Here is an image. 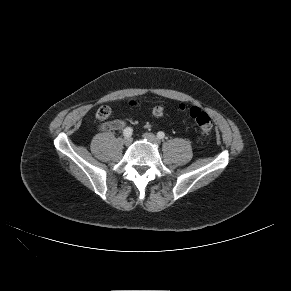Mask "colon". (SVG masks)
<instances>
[{
  "instance_id": "obj_1",
  "label": "colon",
  "mask_w": 291,
  "mask_h": 291,
  "mask_svg": "<svg viewBox=\"0 0 291 291\" xmlns=\"http://www.w3.org/2000/svg\"><path fill=\"white\" fill-rule=\"evenodd\" d=\"M181 110H186L192 120L195 122L197 128L203 136H209L213 130V121L211 117L199 107L186 108L184 105L180 106ZM111 109L108 106H102L98 109L96 113V118L99 121L104 122L110 116ZM152 114L156 118H160L164 114V107L157 105L153 108ZM102 129L109 130V123H104Z\"/></svg>"
}]
</instances>
